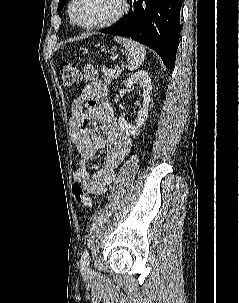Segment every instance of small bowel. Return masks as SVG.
<instances>
[{"label": "small bowel", "instance_id": "1", "mask_svg": "<svg viewBox=\"0 0 239 303\" xmlns=\"http://www.w3.org/2000/svg\"><path fill=\"white\" fill-rule=\"evenodd\" d=\"M85 72L86 85L73 105L72 140L78 154L74 180L88 193L103 195L113 183L116 169L129 154L132 141L114 118L105 83L91 66H86ZM84 104L86 108L82 110ZM98 125L101 133L95 131ZM103 148H106L104 166L91 175L89 162Z\"/></svg>", "mask_w": 239, "mask_h": 303}]
</instances>
